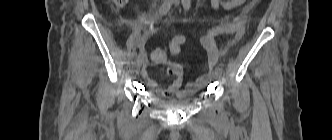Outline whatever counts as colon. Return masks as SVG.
I'll use <instances>...</instances> for the list:
<instances>
[{"label": "colon", "instance_id": "1", "mask_svg": "<svg viewBox=\"0 0 332 140\" xmlns=\"http://www.w3.org/2000/svg\"><path fill=\"white\" fill-rule=\"evenodd\" d=\"M116 6L123 7L128 3V0H111ZM261 0H252L250 4V9L253 8L256 4H258ZM155 58L159 62H163L166 59V51L163 49H157Z\"/></svg>", "mask_w": 332, "mask_h": 140}]
</instances>
